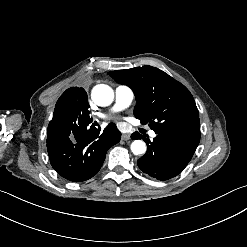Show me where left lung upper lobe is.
<instances>
[{
	"label": "left lung upper lobe",
	"instance_id": "obj_1",
	"mask_svg": "<svg viewBox=\"0 0 247 247\" xmlns=\"http://www.w3.org/2000/svg\"><path fill=\"white\" fill-rule=\"evenodd\" d=\"M119 84L129 86L137 100L134 115L157 134H170L198 145L199 112L189 90L162 70L143 66L110 71Z\"/></svg>",
	"mask_w": 247,
	"mask_h": 247
}]
</instances>
